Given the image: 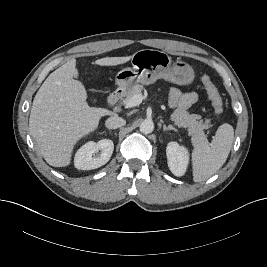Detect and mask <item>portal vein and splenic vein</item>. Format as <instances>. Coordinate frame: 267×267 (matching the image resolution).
<instances>
[{
    "mask_svg": "<svg viewBox=\"0 0 267 267\" xmlns=\"http://www.w3.org/2000/svg\"><path fill=\"white\" fill-rule=\"evenodd\" d=\"M145 97L143 95H135L133 96L126 104V108H131V107H135V106H138L142 103V100L144 99Z\"/></svg>",
    "mask_w": 267,
    "mask_h": 267,
    "instance_id": "portal-vein-and-splenic-vein-1",
    "label": "portal vein and splenic vein"
}]
</instances>
